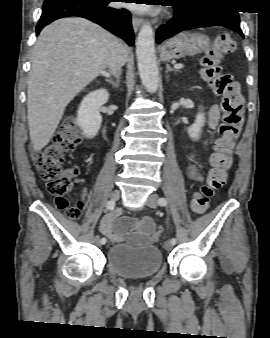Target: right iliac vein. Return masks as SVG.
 <instances>
[{"label": "right iliac vein", "mask_w": 270, "mask_h": 338, "mask_svg": "<svg viewBox=\"0 0 270 338\" xmlns=\"http://www.w3.org/2000/svg\"><path fill=\"white\" fill-rule=\"evenodd\" d=\"M119 197H120V192H119L118 190L113 191V192L111 193V195H110V198H111L112 200H118ZM93 242H94L96 245H98V246L101 245V243H100V238H99L98 235L95 236V237L93 238Z\"/></svg>", "instance_id": "1"}]
</instances>
